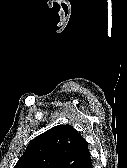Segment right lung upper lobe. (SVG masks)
Masks as SVG:
<instances>
[{
	"label": "right lung upper lobe",
	"instance_id": "cb5924a9",
	"mask_svg": "<svg viewBox=\"0 0 127 168\" xmlns=\"http://www.w3.org/2000/svg\"><path fill=\"white\" fill-rule=\"evenodd\" d=\"M90 157L80 133L71 125H60L33 139L14 168H76Z\"/></svg>",
	"mask_w": 127,
	"mask_h": 168
}]
</instances>
